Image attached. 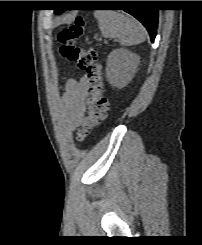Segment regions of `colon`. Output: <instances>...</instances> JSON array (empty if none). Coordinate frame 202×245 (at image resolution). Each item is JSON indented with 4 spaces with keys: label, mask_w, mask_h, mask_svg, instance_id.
Masks as SVG:
<instances>
[{
    "label": "colon",
    "mask_w": 202,
    "mask_h": 245,
    "mask_svg": "<svg viewBox=\"0 0 202 245\" xmlns=\"http://www.w3.org/2000/svg\"><path fill=\"white\" fill-rule=\"evenodd\" d=\"M84 31L85 22L81 17H77L58 37L63 57L77 69L85 71L90 81L87 102L77 130L79 141L84 140L105 120L109 109L103 66L97 51L92 47L81 48L75 43Z\"/></svg>",
    "instance_id": "colon-1"
}]
</instances>
